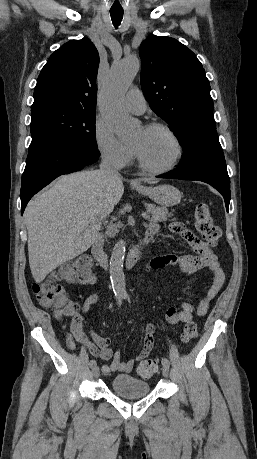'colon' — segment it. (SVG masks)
<instances>
[{
    "mask_svg": "<svg viewBox=\"0 0 257 459\" xmlns=\"http://www.w3.org/2000/svg\"><path fill=\"white\" fill-rule=\"evenodd\" d=\"M195 226L203 239L214 246L220 237V230L214 225L209 205L206 200H200L194 211ZM73 282H92L94 276L91 272V260L87 256L68 261L50 274L47 278L33 283L32 289L38 303L44 307L52 308L58 316L76 317L77 304L66 294L64 288L58 283L60 280ZM197 327L188 323L181 332V340L189 343L197 337ZM158 369V360L151 358L142 361L138 366V374L143 378H150Z\"/></svg>",
    "mask_w": 257,
    "mask_h": 459,
    "instance_id": "1",
    "label": "colon"
}]
</instances>
